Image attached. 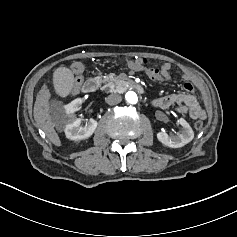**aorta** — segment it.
<instances>
[{"instance_id": "aorta-1", "label": "aorta", "mask_w": 237, "mask_h": 237, "mask_svg": "<svg viewBox=\"0 0 237 237\" xmlns=\"http://www.w3.org/2000/svg\"><path fill=\"white\" fill-rule=\"evenodd\" d=\"M125 100L127 103L136 104L138 102L137 94L133 91H128L125 95Z\"/></svg>"}]
</instances>
